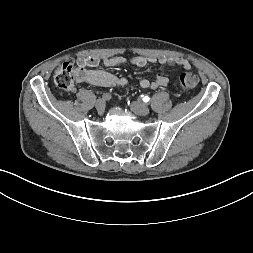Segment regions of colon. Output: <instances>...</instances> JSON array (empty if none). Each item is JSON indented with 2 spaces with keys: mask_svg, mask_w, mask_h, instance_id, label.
Returning <instances> with one entry per match:
<instances>
[{
  "mask_svg": "<svg viewBox=\"0 0 253 253\" xmlns=\"http://www.w3.org/2000/svg\"><path fill=\"white\" fill-rule=\"evenodd\" d=\"M78 66L73 59H67L56 70L54 82L64 91H72L75 88V73ZM180 85L183 89H191L199 82L198 75L193 72H184L179 77Z\"/></svg>",
  "mask_w": 253,
  "mask_h": 253,
  "instance_id": "5ec220e1",
  "label": "colon"
}]
</instances>
